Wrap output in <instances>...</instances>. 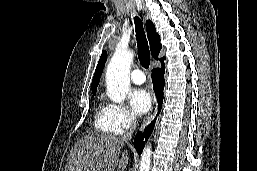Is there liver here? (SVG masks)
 Segmentation results:
<instances>
[{
  "mask_svg": "<svg viewBox=\"0 0 257 171\" xmlns=\"http://www.w3.org/2000/svg\"><path fill=\"white\" fill-rule=\"evenodd\" d=\"M124 139L112 135L89 134L71 149L65 171H124L128 151L119 159Z\"/></svg>",
  "mask_w": 257,
  "mask_h": 171,
  "instance_id": "liver-1",
  "label": "liver"
}]
</instances>
